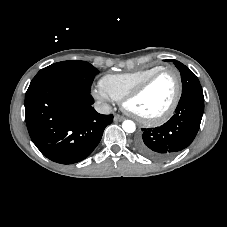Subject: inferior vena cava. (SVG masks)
I'll use <instances>...</instances> for the list:
<instances>
[{
    "label": "inferior vena cava",
    "instance_id": "1",
    "mask_svg": "<svg viewBox=\"0 0 227 227\" xmlns=\"http://www.w3.org/2000/svg\"><path fill=\"white\" fill-rule=\"evenodd\" d=\"M95 110L101 114H109L112 111V108L107 103L96 102L94 105Z\"/></svg>",
    "mask_w": 227,
    "mask_h": 227
}]
</instances>
